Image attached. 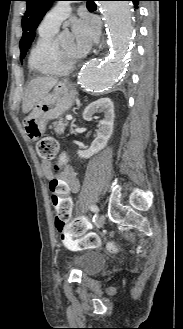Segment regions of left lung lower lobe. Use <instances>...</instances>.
I'll list each match as a JSON object with an SVG mask.
<instances>
[{
	"label": "left lung lower lobe",
	"mask_w": 183,
	"mask_h": 329,
	"mask_svg": "<svg viewBox=\"0 0 183 329\" xmlns=\"http://www.w3.org/2000/svg\"><path fill=\"white\" fill-rule=\"evenodd\" d=\"M130 1H132L134 4H136V5H137V4H138V2H139V1H141V0H130ZM136 7H137V6H136Z\"/></svg>",
	"instance_id": "1"
}]
</instances>
